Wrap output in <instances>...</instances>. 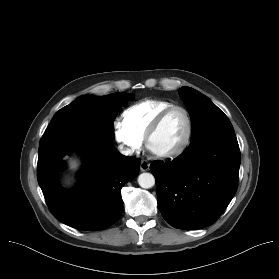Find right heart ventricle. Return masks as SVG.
<instances>
[{"label":"right heart ventricle","instance_id":"right-heart-ventricle-1","mask_svg":"<svg viewBox=\"0 0 279 279\" xmlns=\"http://www.w3.org/2000/svg\"><path fill=\"white\" fill-rule=\"evenodd\" d=\"M174 105L172 102L161 99H146L128 107L122 113V123L138 137L144 139L146 132L165 108Z\"/></svg>","mask_w":279,"mask_h":279}]
</instances>
